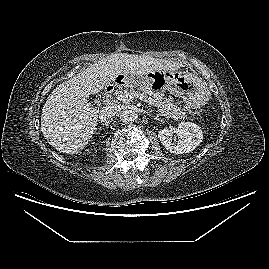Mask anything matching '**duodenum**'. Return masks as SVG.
<instances>
[{
    "instance_id": "410a0bca",
    "label": "duodenum",
    "mask_w": 269,
    "mask_h": 269,
    "mask_svg": "<svg viewBox=\"0 0 269 269\" xmlns=\"http://www.w3.org/2000/svg\"><path fill=\"white\" fill-rule=\"evenodd\" d=\"M115 85L112 84V85H108L105 90H104V93H103V100L104 101H107L109 99V94L112 93L113 89H114Z\"/></svg>"
}]
</instances>
